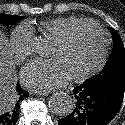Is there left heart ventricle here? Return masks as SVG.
I'll return each instance as SVG.
<instances>
[{"label":"left heart ventricle","mask_w":125,"mask_h":125,"mask_svg":"<svg viewBox=\"0 0 125 125\" xmlns=\"http://www.w3.org/2000/svg\"><path fill=\"white\" fill-rule=\"evenodd\" d=\"M104 37L93 26L78 29L64 44L54 42L51 57L60 58L72 76L92 69L102 53Z\"/></svg>","instance_id":"b2bd125f"}]
</instances>
